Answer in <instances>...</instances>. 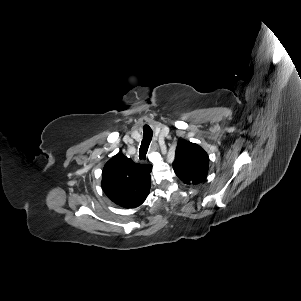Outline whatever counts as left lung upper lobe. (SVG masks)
<instances>
[{
	"label": "left lung upper lobe",
	"instance_id": "1",
	"mask_svg": "<svg viewBox=\"0 0 301 301\" xmlns=\"http://www.w3.org/2000/svg\"><path fill=\"white\" fill-rule=\"evenodd\" d=\"M209 157L197 144L180 140L176 147L173 169L186 184H199L207 176Z\"/></svg>",
	"mask_w": 301,
	"mask_h": 301
}]
</instances>
